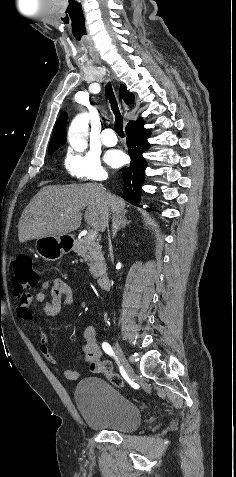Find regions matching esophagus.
<instances>
[{
  "instance_id": "34e87169",
  "label": "esophagus",
  "mask_w": 236,
  "mask_h": 477,
  "mask_svg": "<svg viewBox=\"0 0 236 477\" xmlns=\"http://www.w3.org/2000/svg\"><path fill=\"white\" fill-rule=\"evenodd\" d=\"M122 106L124 108V110H128V106L122 101Z\"/></svg>"
}]
</instances>
